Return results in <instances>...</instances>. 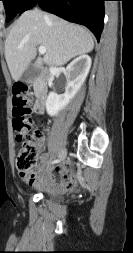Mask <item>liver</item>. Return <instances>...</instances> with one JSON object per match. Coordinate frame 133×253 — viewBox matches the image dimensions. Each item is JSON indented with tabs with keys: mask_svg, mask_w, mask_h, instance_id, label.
Wrapping results in <instances>:
<instances>
[{
	"mask_svg": "<svg viewBox=\"0 0 133 253\" xmlns=\"http://www.w3.org/2000/svg\"><path fill=\"white\" fill-rule=\"evenodd\" d=\"M37 46H44V58H38L35 67L43 64L59 67L78 55L94 48L93 36L80 25L38 9L24 12L14 23L5 41V58L14 81H18L37 55Z\"/></svg>",
	"mask_w": 133,
	"mask_h": 253,
	"instance_id": "obj_1",
	"label": "liver"
}]
</instances>
